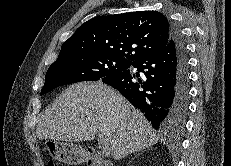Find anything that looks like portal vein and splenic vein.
I'll return each mask as SVG.
<instances>
[{
	"label": "portal vein and splenic vein",
	"mask_w": 231,
	"mask_h": 166,
	"mask_svg": "<svg viewBox=\"0 0 231 166\" xmlns=\"http://www.w3.org/2000/svg\"><path fill=\"white\" fill-rule=\"evenodd\" d=\"M98 141L100 143V146L102 148V154L105 156V157H108L110 155V146H109V141L108 139L102 135V134H98Z\"/></svg>",
	"instance_id": "1"
}]
</instances>
